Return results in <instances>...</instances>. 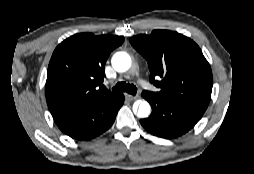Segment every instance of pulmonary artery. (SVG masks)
I'll return each mask as SVG.
<instances>
[{
	"instance_id": "pulmonary-artery-1",
	"label": "pulmonary artery",
	"mask_w": 254,
	"mask_h": 174,
	"mask_svg": "<svg viewBox=\"0 0 254 174\" xmlns=\"http://www.w3.org/2000/svg\"><path fill=\"white\" fill-rule=\"evenodd\" d=\"M140 83L142 86H146V84H147L146 81H144V80H141Z\"/></svg>"
}]
</instances>
